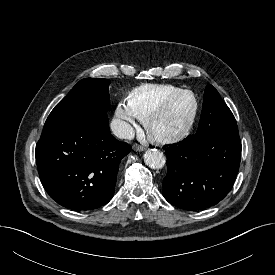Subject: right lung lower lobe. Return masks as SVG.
<instances>
[{
  "mask_svg": "<svg viewBox=\"0 0 275 275\" xmlns=\"http://www.w3.org/2000/svg\"><path fill=\"white\" fill-rule=\"evenodd\" d=\"M130 149L111 135L107 114L86 124L45 129L35 151L41 183L65 208L96 209L114 196L120 160Z\"/></svg>",
  "mask_w": 275,
  "mask_h": 275,
  "instance_id": "obj_1",
  "label": "right lung lower lobe"
}]
</instances>
